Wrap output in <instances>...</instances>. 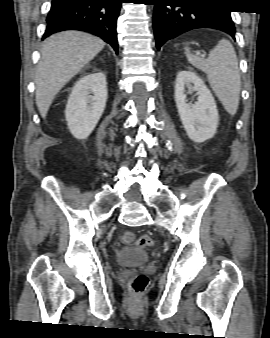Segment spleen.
I'll return each instance as SVG.
<instances>
[{
    "instance_id": "3e777b00",
    "label": "spleen",
    "mask_w": 270,
    "mask_h": 338,
    "mask_svg": "<svg viewBox=\"0 0 270 338\" xmlns=\"http://www.w3.org/2000/svg\"><path fill=\"white\" fill-rule=\"evenodd\" d=\"M185 54L190 64L206 73L210 87L225 110L235 115L239 105L241 77L233 45L221 39L209 52L207 59L192 54L188 48H185Z\"/></svg>"
}]
</instances>
